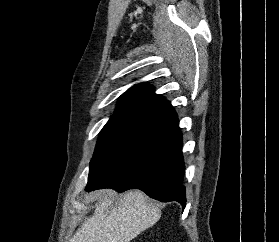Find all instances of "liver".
<instances>
[{
	"label": "liver",
	"mask_w": 279,
	"mask_h": 242,
	"mask_svg": "<svg viewBox=\"0 0 279 242\" xmlns=\"http://www.w3.org/2000/svg\"><path fill=\"white\" fill-rule=\"evenodd\" d=\"M97 197L93 216L82 224L70 242H130L161 217L158 205L138 190L123 195L116 207L112 190H100Z\"/></svg>",
	"instance_id": "6515ba94"
}]
</instances>
